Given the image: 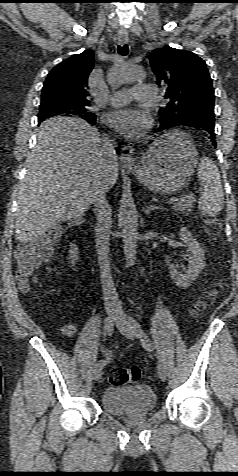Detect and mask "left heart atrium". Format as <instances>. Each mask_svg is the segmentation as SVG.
<instances>
[{
  "mask_svg": "<svg viewBox=\"0 0 238 476\" xmlns=\"http://www.w3.org/2000/svg\"><path fill=\"white\" fill-rule=\"evenodd\" d=\"M105 121L121 135L132 138L143 136L151 123L144 110L133 107L112 111L106 115Z\"/></svg>",
  "mask_w": 238,
  "mask_h": 476,
  "instance_id": "left-heart-atrium-1",
  "label": "left heart atrium"
}]
</instances>
